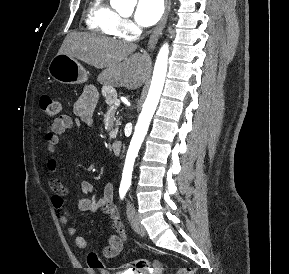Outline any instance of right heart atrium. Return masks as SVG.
Instances as JSON below:
<instances>
[{
	"instance_id": "obj_1",
	"label": "right heart atrium",
	"mask_w": 289,
	"mask_h": 274,
	"mask_svg": "<svg viewBox=\"0 0 289 274\" xmlns=\"http://www.w3.org/2000/svg\"><path fill=\"white\" fill-rule=\"evenodd\" d=\"M120 31L124 37H132L138 32V28L129 19H121Z\"/></svg>"
}]
</instances>
